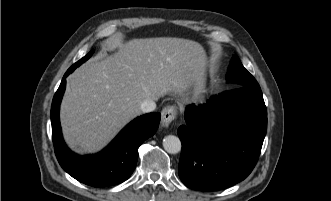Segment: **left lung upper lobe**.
<instances>
[{
  "label": "left lung upper lobe",
  "instance_id": "obj_1",
  "mask_svg": "<svg viewBox=\"0 0 331 201\" xmlns=\"http://www.w3.org/2000/svg\"><path fill=\"white\" fill-rule=\"evenodd\" d=\"M227 81L236 82L241 86L258 85L255 78L244 68L236 55L232 57L227 73Z\"/></svg>",
  "mask_w": 331,
  "mask_h": 201
}]
</instances>
